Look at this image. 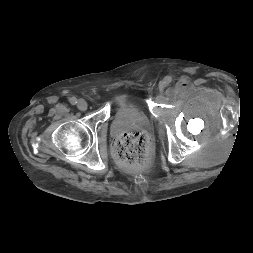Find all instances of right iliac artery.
<instances>
[{"label":"right iliac artery","instance_id":"82829eb1","mask_svg":"<svg viewBox=\"0 0 253 253\" xmlns=\"http://www.w3.org/2000/svg\"><path fill=\"white\" fill-rule=\"evenodd\" d=\"M70 103H71L72 105H75V104L77 103V99H76L75 97H71V98H70Z\"/></svg>","mask_w":253,"mask_h":253}]
</instances>
